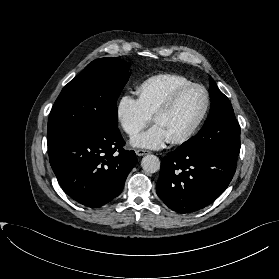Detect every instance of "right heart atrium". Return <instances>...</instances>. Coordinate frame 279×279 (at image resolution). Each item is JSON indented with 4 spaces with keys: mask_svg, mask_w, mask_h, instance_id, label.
<instances>
[{
    "mask_svg": "<svg viewBox=\"0 0 279 279\" xmlns=\"http://www.w3.org/2000/svg\"><path fill=\"white\" fill-rule=\"evenodd\" d=\"M115 116L120 128L130 137L138 134L151 121L139 99L129 94L118 98Z\"/></svg>",
    "mask_w": 279,
    "mask_h": 279,
    "instance_id": "right-heart-atrium-1",
    "label": "right heart atrium"
}]
</instances>
